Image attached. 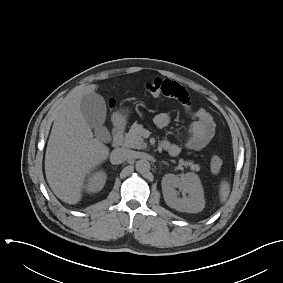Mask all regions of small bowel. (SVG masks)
<instances>
[{"label": "small bowel", "mask_w": 283, "mask_h": 283, "mask_svg": "<svg viewBox=\"0 0 283 283\" xmlns=\"http://www.w3.org/2000/svg\"><path fill=\"white\" fill-rule=\"evenodd\" d=\"M168 98L178 100L190 113L193 122L187 130L184 147L189 150H201L206 147L215 134V121L212 115L205 109H191L190 96L187 90L177 82L169 79L162 80V94ZM170 116L160 112L154 117V123L158 128H165L170 123ZM161 147L172 156L178 155L183 146L169 140H164Z\"/></svg>", "instance_id": "obj_1"}]
</instances>
